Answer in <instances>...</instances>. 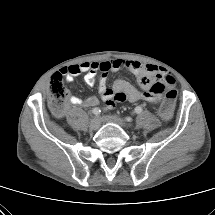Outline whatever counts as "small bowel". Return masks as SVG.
<instances>
[{
    "mask_svg": "<svg viewBox=\"0 0 215 215\" xmlns=\"http://www.w3.org/2000/svg\"><path fill=\"white\" fill-rule=\"evenodd\" d=\"M121 68L128 69L137 77L141 90L125 80H117L112 87L107 85V74L110 71H118ZM58 73L65 76L69 82L73 81L74 77L84 73V81L87 85L94 86L97 83L100 98L106 103L105 110L112 109L115 102L144 101L157 104L160 101L161 93L154 92L152 88L155 83L163 84L165 76H171L157 65L122 59L104 62H83L63 67ZM69 103L75 106L89 107L98 104V99L94 96L81 99L73 95L70 96Z\"/></svg>",
    "mask_w": 215,
    "mask_h": 215,
    "instance_id": "small-bowel-1",
    "label": "small bowel"
}]
</instances>
